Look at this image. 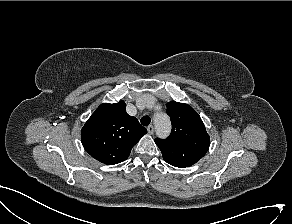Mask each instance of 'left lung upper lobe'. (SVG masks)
I'll list each match as a JSON object with an SVG mask.
<instances>
[{
  "label": "left lung upper lobe",
  "instance_id": "5c2ea615",
  "mask_svg": "<svg viewBox=\"0 0 292 224\" xmlns=\"http://www.w3.org/2000/svg\"><path fill=\"white\" fill-rule=\"evenodd\" d=\"M172 132L167 139H155L163 159L175 167H189L202 158L210 144L209 135L197 112L189 105L171 101L167 103Z\"/></svg>",
  "mask_w": 292,
  "mask_h": 224
}]
</instances>
